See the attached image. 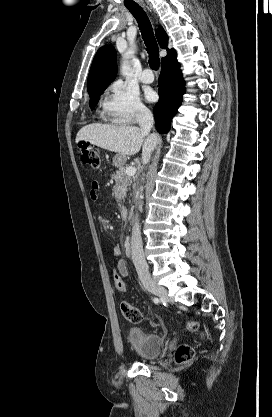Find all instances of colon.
<instances>
[{
    "instance_id": "1",
    "label": "colon",
    "mask_w": 272,
    "mask_h": 417,
    "mask_svg": "<svg viewBox=\"0 0 272 417\" xmlns=\"http://www.w3.org/2000/svg\"><path fill=\"white\" fill-rule=\"evenodd\" d=\"M80 158L85 164L90 165L93 168H97L100 165V154L99 151L91 144L82 142L79 145ZM114 284L117 290L120 292L126 291V284L122 276L114 270L113 274ZM121 312L124 318L130 322L138 323L142 319V314L137 307L134 305L123 302L121 304ZM187 328L190 331H196L198 324L195 322H189ZM194 357V350L188 345H181L178 347L175 359L177 363L184 365L189 363Z\"/></svg>"
}]
</instances>
